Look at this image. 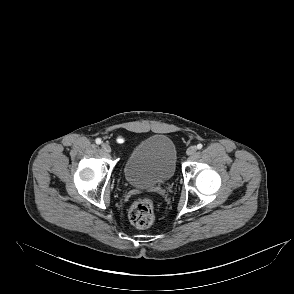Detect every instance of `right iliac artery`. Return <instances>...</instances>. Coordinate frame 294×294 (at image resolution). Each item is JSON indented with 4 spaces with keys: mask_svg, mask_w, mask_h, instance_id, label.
<instances>
[{
    "mask_svg": "<svg viewBox=\"0 0 294 294\" xmlns=\"http://www.w3.org/2000/svg\"><path fill=\"white\" fill-rule=\"evenodd\" d=\"M95 142H96V144H101V143H102V141H101L100 138H97V139L95 140Z\"/></svg>",
    "mask_w": 294,
    "mask_h": 294,
    "instance_id": "1",
    "label": "right iliac artery"
}]
</instances>
